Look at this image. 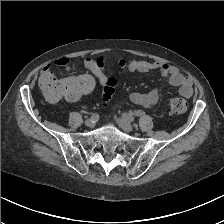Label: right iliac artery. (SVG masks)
I'll list each match as a JSON object with an SVG mask.
<instances>
[{"mask_svg":"<svg viewBox=\"0 0 224 224\" xmlns=\"http://www.w3.org/2000/svg\"><path fill=\"white\" fill-rule=\"evenodd\" d=\"M91 119H92L94 122H96V121H98V119H99V115H98L97 113H93V114L91 115Z\"/></svg>","mask_w":224,"mask_h":224,"instance_id":"obj_1","label":"right iliac artery"}]
</instances>
